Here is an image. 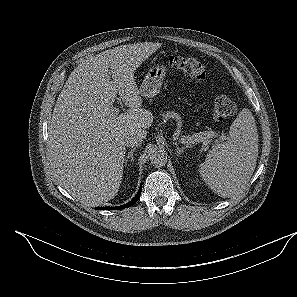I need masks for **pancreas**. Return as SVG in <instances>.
<instances>
[{
	"label": "pancreas",
	"mask_w": 297,
	"mask_h": 297,
	"mask_svg": "<svg viewBox=\"0 0 297 297\" xmlns=\"http://www.w3.org/2000/svg\"><path fill=\"white\" fill-rule=\"evenodd\" d=\"M164 121L168 120L169 118H175L178 122H180V117L178 114L174 112H165L162 114ZM193 139V144L203 143V145H208L209 139L212 137L211 131L193 133L192 135L182 137L181 139L187 140L188 138Z\"/></svg>",
	"instance_id": "pancreas-1"
}]
</instances>
